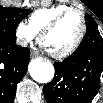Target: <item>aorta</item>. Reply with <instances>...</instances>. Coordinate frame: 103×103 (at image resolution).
<instances>
[{
  "label": "aorta",
  "mask_w": 103,
  "mask_h": 103,
  "mask_svg": "<svg viewBox=\"0 0 103 103\" xmlns=\"http://www.w3.org/2000/svg\"><path fill=\"white\" fill-rule=\"evenodd\" d=\"M28 71L30 76L39 83H48L54 77V67L52 63L34 59L29 63Z\"/></svg>",
  "instance_id": "762f6f07"
}]
</instances>
